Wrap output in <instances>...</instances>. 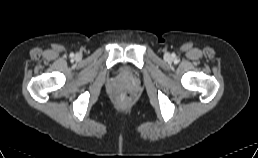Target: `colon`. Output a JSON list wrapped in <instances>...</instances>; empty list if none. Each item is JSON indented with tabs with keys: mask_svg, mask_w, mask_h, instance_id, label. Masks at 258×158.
<instances>
[{
	"mask_svg": "<svg viewBox=\"0 0 258 158\" xmlns=\"http://www.w3.org/2000/svg\"><path fill=\"white\" fill-rule=\"evenodd\" d=\"M118 96L123 101H130L131 100V95L127 92H121V93H119Z\"/></svg>",
	"mask_w": 258,
	"mask_h": 158,
	"instance_id": "obj_1",
	"label": "colon"
}]
</instances>
